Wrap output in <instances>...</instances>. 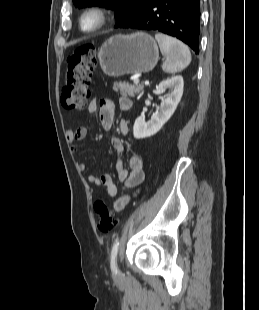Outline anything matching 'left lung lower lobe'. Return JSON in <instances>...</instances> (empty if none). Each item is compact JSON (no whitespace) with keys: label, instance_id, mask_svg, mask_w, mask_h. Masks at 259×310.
<instances>
[{"label":"left lung lower lobe","instance_id":"obj_1","mask_svg":"<svg viewBox=\"0 0 259 310\" xmlns=\"http://www.w3.org/2000/svg\"><path fill=\"white\" fill-rule=\"evenodd\" d=\"M118 27L161 31L199 53L200 0H152Z\"/></svg>","mask_w":259,"mask_h":310}]
</instances>
